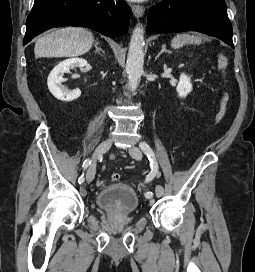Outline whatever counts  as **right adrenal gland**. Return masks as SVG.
I'll return each instance as SVG.
<instances>
[{
    "instance_id": "1",
    "label": "right adrenal gland",
    "mask_w": 255,
    "mask_h": 272,
    "mask_svg": "<svg viewBox=\"0 0 255 272\" xmlns=\"http://www.w3.org/2000/svg\"><path fill=\"white\" fill-rule=\"evenodd\" d=\"M98 45H99V43L97 42V43H95V50H96V52H99V51H101L103 54H104V51L100 48V47H98Z\"/></svg>"
}]
</instances>
